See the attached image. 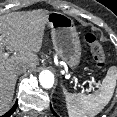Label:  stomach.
<instances>
[{
    "mask_svg": "<svg viewBox=\"0 0 117 117\" xmlns=\"http://www.w3.org/2000/svg\"><path fill=\"white\" fill-rule=\"evenodd\" d=\"M46 24L51 28L57 56L71 68H75L80 62L81 45L74 21L62 13L50 12L46 16Z\"/></svg>",
    "mask_w": 117,
    "mask_h": 117,
    "instance_id": "obj_1",
    "label": "stomach"
}]
</instances>
